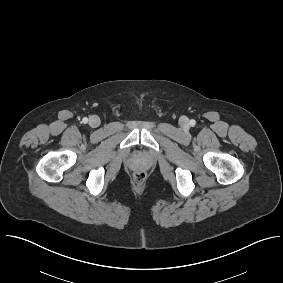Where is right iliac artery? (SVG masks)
Returning <instances> with one entry per match:
<instances>
[{"mask_svg": "<svg viewBox=\"0 0 283 283\" xmlns=\"http://www.w3.org/2000/svg\"><path fill=\"white\" fill-rule=\"evenodd\" d=\"M82 122H83L84 124H86V123L88 122V118L84 117V118L82 119Z\"/></svg>", "mask_w": 283, "mask_h": 283, "instance_id": "82829eb1", "label": "right iliac artery"}]
</instances>
